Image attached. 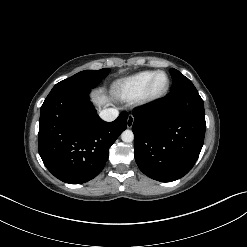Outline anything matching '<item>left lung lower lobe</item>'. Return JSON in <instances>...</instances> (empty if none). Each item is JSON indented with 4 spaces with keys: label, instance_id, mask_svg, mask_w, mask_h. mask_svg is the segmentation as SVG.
Listing matches in <instances>:
<instances>
[{
    "label": "left lung lower lobe",
    "instance_id": "1",
    "mask_svg": "<svg viewBox=\"0 0 247 247\" xmlns=\"http://www.w3.org/2000/svg\"><path fill=\"white\" fill-rule=\"evenodd\" d=\"M135 160L148 177L171 182L194 166L203 146L206 122L199 93L168 94L133 112Z\"/></svg>",
    "mask_w": 247,
    "mask_h": 247
}]
</instances>
